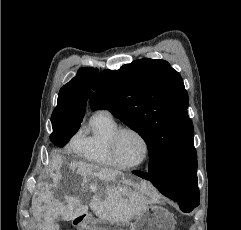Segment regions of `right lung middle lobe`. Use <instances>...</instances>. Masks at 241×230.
I'll use <instances>...</instances> for the list:
<instances>
[{
  "instance_id": "1",
  "label": "right lung middle lobe",
  "mask_w": 241,
  "mask_h": 230,
  "mask_svg": "<svg viewBox=\"0 0 241 230\" xmlns=\"http://www.w3.org/2000/svg\"><path fill=\"white\" fill-rule=\"evenodd\" d=\"M53 133L50 135L51 142L59 147L65 146L70 138L78 131L80 124L74 122H52Z\"/></svg>"
}]
</instances>
